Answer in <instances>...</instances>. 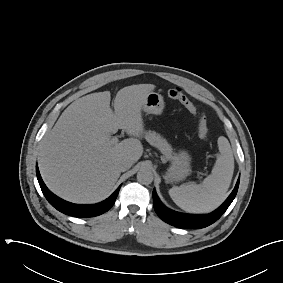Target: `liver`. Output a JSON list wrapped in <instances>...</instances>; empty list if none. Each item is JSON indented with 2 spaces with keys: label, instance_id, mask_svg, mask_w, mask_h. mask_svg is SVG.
<instances>
[{
  "label": "liver",
  "instance_id": "obj_1",
  "mask_svg": "<svg viewBox=\"0 0 283 283\" xmlns=\"http://www.w3.org/2000/svg\"><path fill=\"white\" fill-rule=\"evenodd\" d=\"M153 84L120 89L110 108L109 91L83 96L71 103L39 148V169L47 187L73 203L106 198L120 176L117 163L137 162L143 154L141 114ZM123 129L133 138L113 144L111 134Z\"/></svg>",
  "mask_w": 283,
  "mask_h": 283
}]
</instances>
